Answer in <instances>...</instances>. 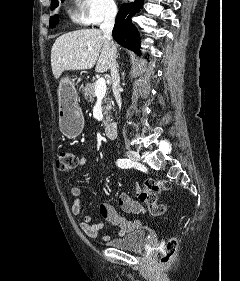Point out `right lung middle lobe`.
I'll return each mask as SVG.
<instances>
[{
    "mask_svg": "<svg viewBox=\"0 0 240 281\" xmlns=\"http://www.w3.org/2000/svg\"><path fill=\"white\" fill-rule=\"evenodd\" d=\"M64 0H61V2H63ZM58 1L57 0H52V3H51V8L54 9L58 6ZM58 22V18H57V15H54V16H51L50 17V22H49V26L50 27H55L56 24Z\"/></svg>",
    "mask_w": 240,
    "mask_h": 281,
    "instance_id": "dd1d6c3e",
    "label": "right lung middle lobe"
}]
</instances>
